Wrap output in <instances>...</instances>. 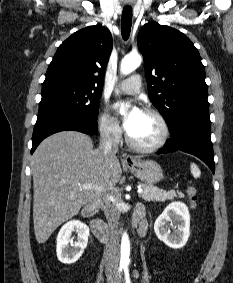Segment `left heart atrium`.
<instances>
[{"instance_id": "39dd6f15", "label": "left heart atrium", "mask_w": 233, "mask_h": 283, "mask_svg": "<svg viewBox=\"0 0 233 283\" xmlns=\"http://www.w3.org/2000/svg\"><path fill=\"white\" fill-rule=\"evenodd\" d=\"M124 103H116L114 105V108L118 110L121 106H123ZM142 113V110L138 108L137 106H133L129 114L124 118V127L127 132H129L136 121V119L139 117V115Z\"/></svg>"}]
</instances>
